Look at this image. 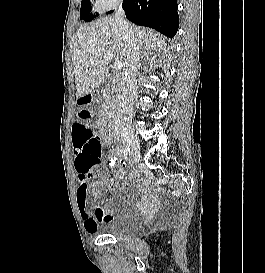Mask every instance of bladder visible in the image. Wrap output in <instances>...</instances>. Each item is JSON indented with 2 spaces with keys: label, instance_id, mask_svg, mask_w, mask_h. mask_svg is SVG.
<instances>
[{
  "label": "bladder",
  "instance_id": "31cf9c89",
  "mask_svg": "<svg viewBox=\"0 0 265 273\" xmlns=\"http://www.w3.org/2000/svg\"><path fill=\"white\" fill-rule=\"evenodd\" d=\"M141 219L132 215H116L99 227V231L115 238L134 236L139 233Z\"/></svg>",
  "mask_w": 265,
  "mask_h": 273
}]
</instances>
